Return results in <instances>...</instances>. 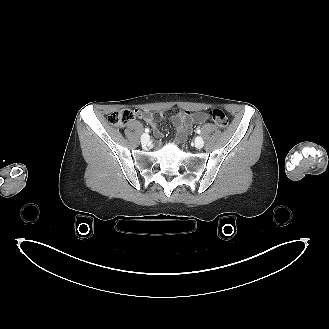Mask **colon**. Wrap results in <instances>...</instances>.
Segmentation results:
<instances>
[{"mask_svg":"<svg viewBox=\"0 0 329 329\" xmlns=\"http://www.w3.org/2000/svg\"><path fill=\"white\" fill-rule=\"evenodd\" d=\"M138 110H131V109H122L116 112H112L107 116V122L109 125L114 127H123L130 123L138 114ZM208 116L211 118L217 126L222 129L228 127V118L222 110L213 109L208 111Z\"/></svg>","mask_w":329,"mask_h":329,"instance_id":"obj_1","label":"colon"}]
</instances>
